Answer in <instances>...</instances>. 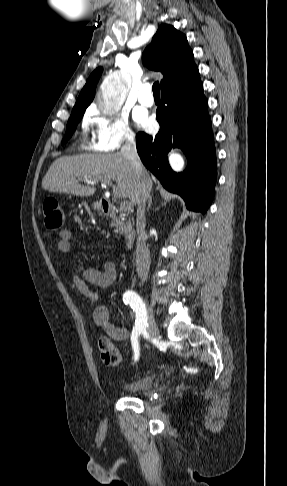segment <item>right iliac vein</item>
Instances as JSON below:
<instances>
[{"label": "right iliac vein", "mask_w": 287, "mask_h": 486, "mask_svg": "<svg viewBox=\"0 0 287 486\" xmlns=\"http://www.w3.org/2000/svg\"><path fill=\"white\" fill-rule=\"evenodd\" d=\"M148 334L151 339H158L159 338V329L155 322L154 315L150 312L149 314V327H148Z\"/></svg>", "instance_id": "right-iliac-vein-1"}]
</instances>
